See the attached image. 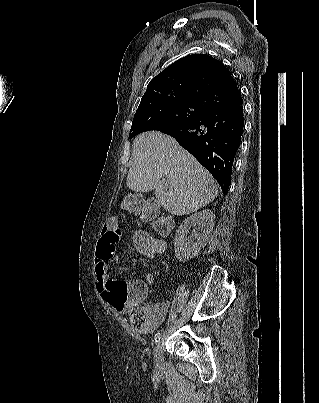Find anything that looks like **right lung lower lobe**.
Masks as SVG:
<instances>
[{
    "label": "right lung lower lobe",
    "instance_id": "1",
    "mask_svg": "<svg viewBox=\"0 0 319 403\" xmlns=\"http://www.w3.org/2000/svg\"><path fill=\"white\" fill-rule=\"evenodd\" d=\"M244 129L242 104L208 112L192 123L160 129L174 137L218 181L225 194Z\"/></svg>",
    "mask_w": 319,
    "mask_h": 403
}]
</instances>
